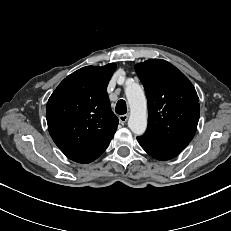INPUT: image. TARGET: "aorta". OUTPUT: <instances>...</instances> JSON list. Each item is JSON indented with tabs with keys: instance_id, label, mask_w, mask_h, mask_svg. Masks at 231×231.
Listing matches in <instances>:
<instances>
[{
	"instance_id": "1",
	"label": "aorta",
	"mask_w": 231,
	"mask_h": 231,
	"mask_svg": "<svg viewBox=\"0 0 231 231\" xmlns=\"http://www.w3.org/2000/svg\"><path fill=\"white\" fill-rule=\"evenodd\" d=\"M125 94L130 106L128 127L136 135H142L147 128V102L142 87L131 81L126 85Z\"/></svg>"
}]
</instances>
